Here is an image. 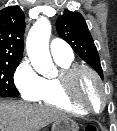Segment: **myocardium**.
I'll return each mask as SVG.
<instances>
[{
	"mask_svg": "<svg viewBox=\"0 0 117 131\" xmlns=\"http://www.w3.org/2000/svg\"><path fill=\"white\" fill-rule=\"evenodd\" d=\"M84 74L90 75L100 89L102 99L101 105L98 109L94 108L91 104L82 99L78 93V83ZM61 81L66 97L78 107L86 110L89 113H99L105 108L108 99L106 89L102 79L92 68L86 65H75L62 73Z\"/></svg>",
	"mask_w": 117,
	"mask_h": 131,
	"instance_id": "1",
	"label": "myocardium"
}]
</instances>
